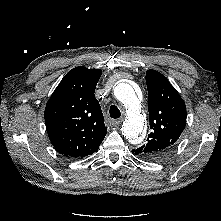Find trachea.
Here are the masks:
<instances>
[{"mask_svg":"<svg viewBox=\"0 0 221 221\" xmlns=\"http://www.w3.org/2000/svg\"><path fill=\"white\" fill-rule=\"evenodd\" d=\"M109 113H110L111 118H113V119H117L121 116L120 110L115 105H112L110 107Z\"/></svg>","mask_w":221,"mask_h":221,"instance_id":"1","label":"trachea"}]
</instances>
